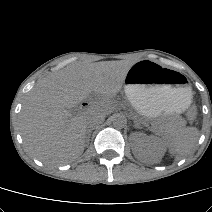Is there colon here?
<instances>
[{
    "instance_id": "obj_1",
    "label": "colon",
    "mask_w": 212,
    "mask_h": 212,
    "mask_svg": "<svg viewBox=\"0 0 212 212\" xmlns=\"http://www.w3.org/2000/svg\"><path fill=\"white\" fill-rule=\"evenodd\" d=\"M196 115H197V110H196L195 106H192V107L189 109L188 114H187L188 119H189L190 121H193V120L196 118Z\"/></svg>"
}]
</instances>
